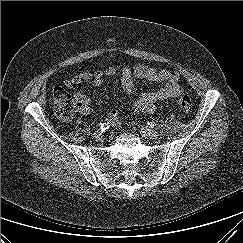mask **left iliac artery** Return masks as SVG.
Segmentation results:
<instances>
[{"instance_id":"44dca946","label":"left iliac artery","mask_w":243,"mask_h":243,"mask_svg":"<svg viewBox=\"0 0 243 243\" xmlns=\"http://www.w3.org/2000/svg\"><path fill=\"white\" fill-rule=\"evenodd\" d=\"M147 127L152 129L155 127V124L153 122H148Z\"/></svg>"}]
</instances>
